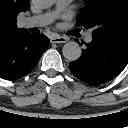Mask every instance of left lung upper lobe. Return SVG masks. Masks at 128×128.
Returning a JSON list of instances; mask_svg holds the SVG:
<instances>
[{"mask_svg":"<svg viewBox=\"0 0 128 128\" xmlns=\"http://www.w3.org/2000/svg\"><path fill=\"white\" fill-rule=\"evenodd\" d=\"M77 25L95 29L94 38L128 39V0H86Z\"/></svg>","mask_w":128,"mask_h":128,"instance_id":"1","label":"left lung upper lobe"}]
</instances>
